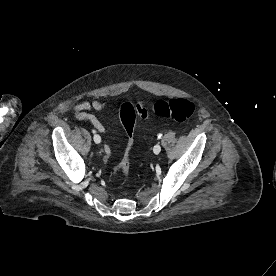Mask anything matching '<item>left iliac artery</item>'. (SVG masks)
<instances>
[{"label":"left iliac artery","instance_id":"44dca946","mask_svg":"<svg viewBox=\"0 0 276 276\" xmlns=\"http://www.w3.org/2000/svg\"><path fill=\"white\" fill-rule=\"evenodd\" d=\"M158 138H159V139L162 138V134H159V135H158Z\"/></svg>","mask_w":276,"mask_h":276}]
</instances>
